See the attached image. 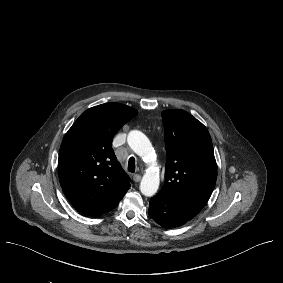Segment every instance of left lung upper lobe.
I'll list each match as a JSON object with an SVG mask.
<instances>
[{
    "instance_id": "left-lung-upper-lobe-1",
    "label": "left lung upper lobe",
    "mask_w": 283,
    "mask_h": 283,
    "mask_svg": "<svg viewBox=\"0 0 283 283\" xmlns=\"http://www.w3.org/2000/svg\"><path fill=\"white\" fill-rule=\"evenodd\" d=\"M167 161L160 194L204 206L215 187L217 165L206 127L184 110L162 112Z\"/></svg>"
}]
</instances>
